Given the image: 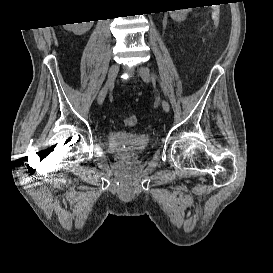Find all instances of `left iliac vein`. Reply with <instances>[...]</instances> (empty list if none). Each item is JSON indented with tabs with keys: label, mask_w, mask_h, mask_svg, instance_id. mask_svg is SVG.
I'll return each instance as SVG.
<instances>
[{
	"label": "left iliac vein",
	"mask_w": 273,
	"mask_h": 273,
	"mask_svg": "<svg viewBox=\"0 0 273 273\" xmlns=\"http://www.w3.org/2000/svg\"><path fill=\"white\" fill-rule=\"evenodd\" d=\"M139 75L141 76V78L143 79V81L145 83H150L151 81V77H150V73L149 70L145 67V66H139L137 68ZM162 108L165 112H169L170 110V105L166 100L162 101Z\"/></svg>",
	"instance_id": "left-iliac-vein-1"
}]
</instances>
